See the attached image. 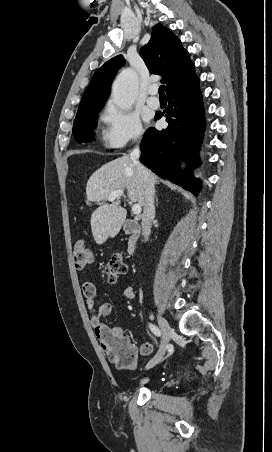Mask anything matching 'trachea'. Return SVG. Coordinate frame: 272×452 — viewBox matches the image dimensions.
<instances>
[{
  "instance_id": "1",
  "label": "trachea",
  "mask_w": 272,
  "mask_h": 452,
  "mask_svg": "<svg viewBox=\"0 0 272 452\" xmlns=\"http://www.w3.org/2000/svg\"><path fill=\"white\" fill-rule=\"evenodd\" d=\"M159 97H165L164 85L159 87Z\"/></svg>"
}]
</instances>
